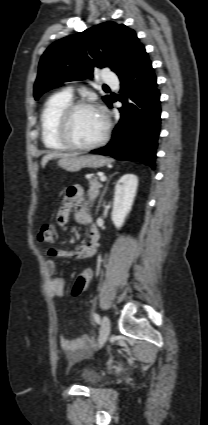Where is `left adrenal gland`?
Segmentation results:
<instances>
[{
	"label": "left adrenal gland",
	"mask_w": 208,
	"mask_h": 425,
	"mask_svg": "<svg viewBox=\"0 0 208 425\" xmlns=\"http://www.w3.org/2000/svg\"><path fill=\"white\" fill-rule=\"evenodd\" d=\"M115 174H117V172H116V173H114V174H112V175L110 176V178H109V180H108V182H107V184H106V186H105V188H104V190H103V193H102V195H101V197H100V200H99L98 205H97V208H96V214L99 212V209H100V206H101V202H102V199H103V197H104V195H105V193H106V190H107V187H108L109 181H110V179H111V178H112Z\"/></svg>",
	"instance_id": "obj_1"
}]
</instances>
